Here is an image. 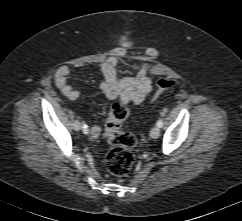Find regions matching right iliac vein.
Masks as SVG:
<instances>
[{
  "label": "right iliac vein",
  "mask_w": 242,
  "mask_h": 221,
  "mask_svg": "<svg viewBox=\"0 0 242 221\" xmlns=\"http://www.w3.org/2000/svg\"><path fill=\"white\" fill-rule=\"evenodd\" d=\"M80 128H81L80 122L79 121H75V123H74V129L76 131H78V130H80Z\"/></svg>",
  "instance_id": "obj_1"
}]
</instances>
